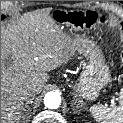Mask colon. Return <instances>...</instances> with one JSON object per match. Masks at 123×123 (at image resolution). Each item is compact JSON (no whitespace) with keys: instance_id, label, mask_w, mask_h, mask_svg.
<instances>
[{"instance_id":"obj_1","label":"colon","mask_w":123,"mask_h":123,"mask_svg":"<svg viewBox=\"0 0 123 123\" xmlns=\"http://www.w3.org/2000/svg\"><path fill=\"white\" fill-rule=\"evenodd\" d=\"M120 61H121V64L123 65V51L120 54Z\"/></svg>"}]
</instances>
